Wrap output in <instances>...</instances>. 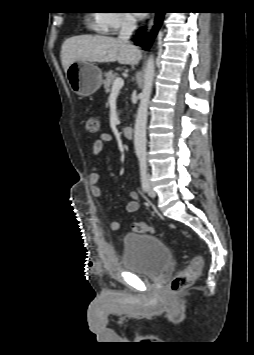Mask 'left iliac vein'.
Wrapping results in <instances>:
<instances>
[{
	"mask_svg": "<svg viewBox=\"0 0 254 355\" xmlns=\"http://www.w3.org/2000/svg\"><path fill=\"white\" fill-rule=\"evenodd\" d=\"M148 188H147V193L150 197H156V192L153 190L150 182V177L148 176Z\"/></svg>",
	"mask_w": 254,
	"mask_h": 355,
	"instance_id": "left-iliac-vein-1",
	"label": "left iliac vein"
}]
</instances>
